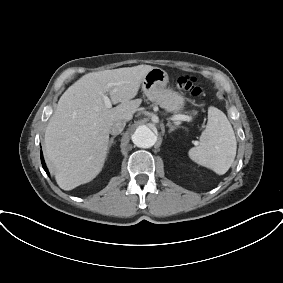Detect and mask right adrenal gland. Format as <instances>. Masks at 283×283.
Instances as JSON below:
<instances>
[{"instance_id":"1","label":"right adrenal gland","mask_w":283,"mask_h":283,"mask_svg":"<svg viewBox=\"0 0 283 283\" xmlns=\"http://www.w3.org/2000/svg\"><path fill=\"white\" fill-rule=\"evenodd\" d=\"M116 135L112 136L109 140V144H108V150L112 147V145L115 144L114 139H115Z\"/></svg>"}]
</instances>
